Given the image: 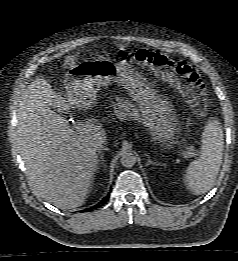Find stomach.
<instances>
[{
  "label": "stomach",
  "mask_w": 238,
  "mask_h": 261,
  "mask_svg": "<svg viewBox=\"0 0 238 261\" xmlns=\"http://www.w3.org/2000/svg\"><path fill=\"white\" fill-rule=\"evenodd\" d=\"M111 83L137 94L144 102L142 117L155 139L163 144L176 139L179 128L173 109L155 95V83L132 67L107 61H85L71 66L64 80L72 106L85 109L94 106L100 87Z\"/></svg>",
  "instance_id": "stomach-1"
}]
</instances>
